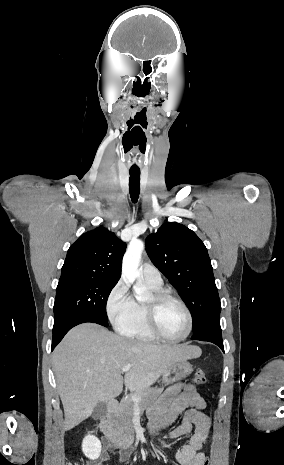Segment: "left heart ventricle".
I'll use <instances>...</instances> for the list:
<instances>
[{
    "label": "left heart ventricle",
    "instance_id": "left-heart-ventricle-1",
    "mask_svg": "<svg viewBox=\"0 0 284 465\" xmlns=\"http://www.w3.org/2000/svg\"><path fill=\"white\" fill-rule=\"evenodd\" d=\"M158 326L166 338L179 339L187 331V315L176 303L167 302L160 310Z\"/></svg>",
    "mask_w": 284,
    "mask_h": 465
}]
</instances>
